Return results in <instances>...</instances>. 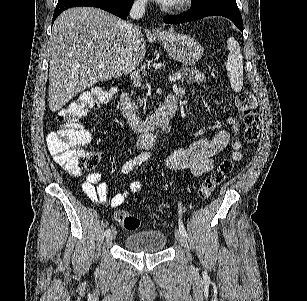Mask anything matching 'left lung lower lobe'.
I'll return each mask as SVG.
<instances>
[{"label": "left lung lower lobe", "mask_w": 307, "mask_h": 301, "mask_svg": "<svg viewBox=\"0 0 307 301\" xmlns=\"http://www.w3.org/2000/svg\"><path fill=\"white\" fill-rule=\"evenodd\" d=\"M215 15L229 18L243 32V21L238 7L223 4H209L200 7H191V9L185 13L175 16H166L163 20L168 24H180Z\"/></svg>", "instance_id": "obj_1"}]
</instances>
